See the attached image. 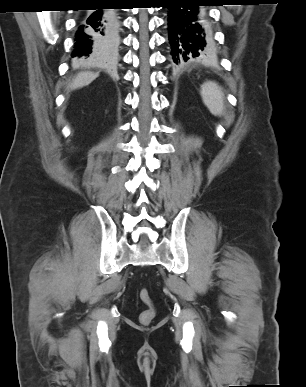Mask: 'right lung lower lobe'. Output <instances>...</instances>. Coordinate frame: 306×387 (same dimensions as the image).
<instances>
[{
  "instance_id": "98d812e1",
  "label": "right lung lower lobe",
  "mask_w": 306,
  "mask_h": 387,
  "mask_svg": "<svg viewBox=\"0 0 306 387\" xmlns=\"http://www.w3.org/2000/svg\"><path fill=\"white\" fill-rule=\"evenodd\" d=\"M117 34L115 9L84 11L78 23L72 58L81 64L110 63L116 55Z\"/></svg>"
}]
</instances>
